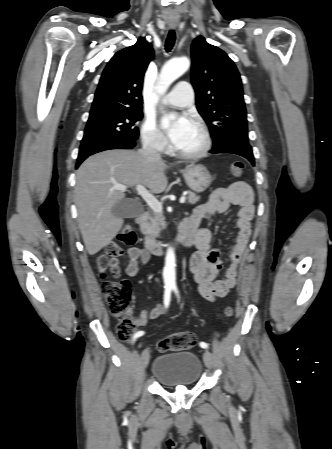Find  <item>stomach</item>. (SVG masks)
Wrapping results in <instances>:
<instances>
[{
	"label": "stomach",
	"instance_id": "1",
	"mask_svg": "<svg viewBox=\"0 0 332 449\" xmlns=\"http://www.w3.org/2000/svg\"><path fill=\"white\" fill-rule=\"evenodd\" d=\"M181 172L188 187L194 192H204L212 183V177L203 165H190Z\"/></svg>",
	"mask_w": 332,
	"mask_h": 449
}]
</instances>
